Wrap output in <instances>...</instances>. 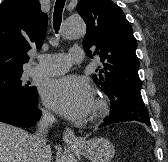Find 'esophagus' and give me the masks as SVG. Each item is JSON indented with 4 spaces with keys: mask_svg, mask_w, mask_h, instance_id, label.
Listing matches in <instances>:
<instances>
[{
    "mask_svg": "<svg viewBox=\"0 0 168 162\" xmlns=\"http://www.w3.org/2000/svg\"><path fill=\"white\" fill-rule=\"evenodd\" d=\"M63 141L66 144L76 145L81 143V139L77 138L73 132V130L69 127L65 128L63 131Z\"/></svg>",
    "mask_w": 168,
    "mask_h": 162,
    "instance_id": "34e87169",
    "label": "esophagus"
}]
</instances>
